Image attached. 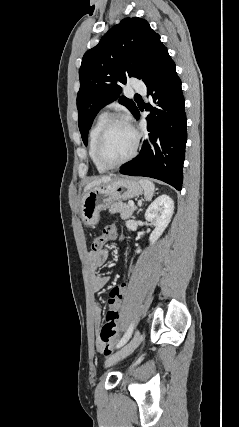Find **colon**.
<instances>
[{
  "label": "colon",
  "instance_id": "1",
  "mask_svg": "<svg viewBox=\"0 0 239 427\" xmlns=\"http://www.w3.org/2000/svg\"><path fill=\"white\" fill-rule=\"evenodd\" d=\"M117 225L112 224L104 228L101 235L96 236L91 243V252H99L103 245L112 240L114 244L124 242L126 232L117 230ZM128 288L127 281H116L109 290L106 297V304L109 305L108 311L105 316L104 324L100 331V339L104 344L103 353L109 355L113 344L119 337V308L123 307V301L126 300V290Z\"/></svg>",
  "mask_w": 239,
  "mask_h": 427
}]
</instances>
